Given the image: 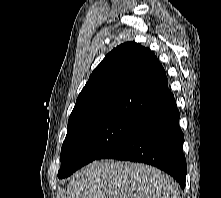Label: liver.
Returning a JSON list of instances; mask_svg holds the SVG:
<instances>
[{
  "label": "liver",
  "instance_id": "obj_1",
  "mask_svg": "<svg viewBox=\"0 0 221 198\" xmlns=\"http://www.w3.org/2000/svg\"><path fill=\"white\" fill-rule=\"evenodd\" d=\"M67 198H180V192L175 180L152 166L99 160L74 174Z\"/></svg>",
  "mask_w": 221,
  "mask_h": 198
}]
</instances>
